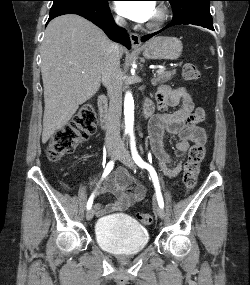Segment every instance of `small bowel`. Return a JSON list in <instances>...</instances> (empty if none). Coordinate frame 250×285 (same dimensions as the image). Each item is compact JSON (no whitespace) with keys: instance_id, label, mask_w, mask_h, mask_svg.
I'll list each match as a JSON object with an SVG mask.
<instances>
[{"instance_id":"obj_1","label":"small bowel","mask_w":250,"mask_h":285,"mask_svg":"<svg viewBox=\"0 0 250 285\" xmlns=\"http://www.w3.org/2000/svg\"><path fill=\"white\" fill-rule=\"evenodd\" d=\"M154 97L158 112L153 115L149 123L150 144L164 174L175 177L181 172L182 165L179 162L170 166L172 158L165 148V135L178 136L176 149L183 155L187 153L191 143L204 144L206 135L199 125L204 118V111L194 106L191 94L183 87L171 89L168 86H161ZM177 106L179 108L175 111H168L169 108ZM132 181L133 177L126 169H117L106 183V189L116 196V200L106 206L95 204L96 214L103 216L122 211L142 200L146 193L145 187L142 184L133 187Z\"/></svg>"}]
</instances>
